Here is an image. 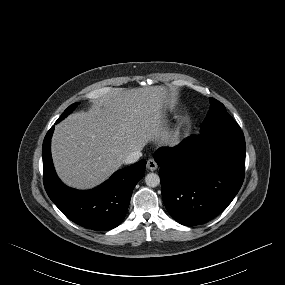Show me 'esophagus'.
Here are the masks:
<instances>
[{"instance_id": "1", "label": "esophagus", "mask_w": 285, "mask_h": 285, "mask_svg": "<svg viewBox=\"0 0 285 285\" xmlns=\"http://www.w3.org/2000/svg\"><path fill=\"white\" fill-rule=\"evenodd\" d=\"M158 167L156 161L152 158H150L148 161H147V168L151 171H154L156 170Z\"/></svg>"}]
</instances>
